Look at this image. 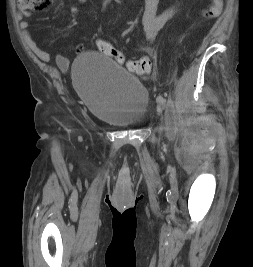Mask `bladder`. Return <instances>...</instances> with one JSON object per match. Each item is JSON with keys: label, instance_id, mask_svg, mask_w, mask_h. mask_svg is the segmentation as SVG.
Masks as SVG:
<instances>
[{"label": "bladder", "instance_id": "1", "mask_svg": "<svg viewBox=\"0 0 253 267\" xmlns=\"http://www.w3.org/2000/svg\"><path fill=\"white\" fill-rule=\"evenodd\" d=\"M72 80L99 120L117 127L144 122L150 106L147 88L109 56L94 51L81 53L72 65Z\"/></svg>", "mask_w": 253, "mask_h": 267}]
</instances>
